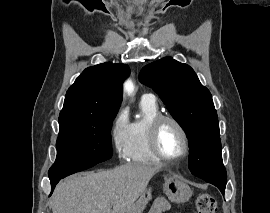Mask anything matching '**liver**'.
<instances>
[{
  "instance_id": "1",
  "label": "liver",
  "mask_w": 270,
  "mask_h": 213,
  "mask_svg": "<svg viewBox=\"0 0 270 213\" xmlns=\"http://www.w3.org/2000/svg\"><path fill=\"white\" fill-rule=\"evenodd\" d=\"M160 170V166L125 164L111 170L74 175L56 186L52 212L126 213Z\"/></svg>"
}]
</instances>
